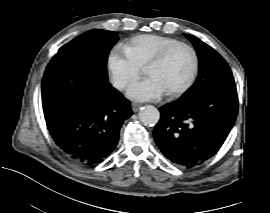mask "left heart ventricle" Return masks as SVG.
I'll use <instances>...</instances> for the list:
<instances>
[{"label":"left heart ventricle","instance_id":"left-heart-ventricle-1","mask_svg":"<svg viewBox=\"0 0 270 213\" xmlns=\"http://www.w3.org/2000/svg\"><path fill=\"white\" fill-rule=\"evenodd\" d=\"M193 63L191 52L180 48L170 53L163 62L152 67L149 74L157 78L166 91H172L188 80Z\"/></svg>","mask_w":270,"mask_h":213}]
</instances>
